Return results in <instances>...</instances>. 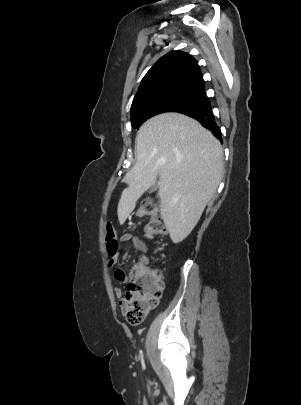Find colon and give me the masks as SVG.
<instances>
[{
    "label": "colon",
    "mask_w": 301,
    "mask_h": 405,
    "mask_svg": "<svg viewBox=\"0 0 301 405\" xmlns=\"http://www.w3.org/2000/svg\"><path fill=\"white\" fill-rule=\"evenodd\" d=\"M138 214L147 218L144 234L149 239L162 238L167 228L159 209L151 202L144 201ZM107 251L113 255L118 250L116 233L112 223L105 227ZM162 294V277L158 270L150 267L147 259H142L130 272L127 288L120 301L126 320L131 325L140 324L148 311L154 307Z\"/></svg>",
    "instance_id": "obj_1"
}]
</instances>
